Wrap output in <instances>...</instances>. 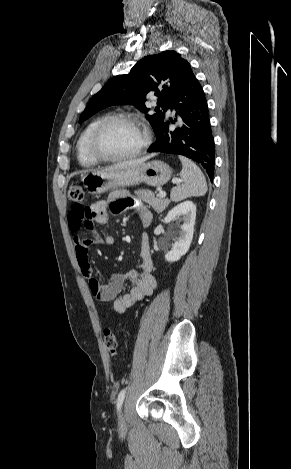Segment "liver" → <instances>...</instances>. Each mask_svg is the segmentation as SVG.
<instances>
[{
	"mask_svg": "<svg viewBox=\"0 0 291 469\" xmlns=\"http://www.w3.org/2000/svg\"><path fill=\"white\" fill-rule=\"evenodd\" d=\"M152 156L153 155H148V156H145V157H142V158L124 161V162H121L119 164H115L113 166H110V167L106 168L104 171H112V170L137 166V165L145 163V161L148 160L149 158H151Z\"/></svg>",
	"mask_w": 291,
	"mask_h": 469,
	"instance_id": "6515ba94",
	"label": "liver"
}]
</instances>
